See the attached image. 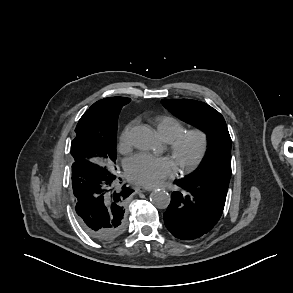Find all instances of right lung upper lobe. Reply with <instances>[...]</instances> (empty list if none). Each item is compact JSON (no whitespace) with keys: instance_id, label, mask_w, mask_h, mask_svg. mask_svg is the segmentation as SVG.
Wrapping results in <instances>:
<instances>
[{"instance_id":"1","label":"right lung upper lobe","mask_w":293,"mask_h":293,"mask_svg":"<svg viewBox=\"0 0 293 293\" xmlns=\"http://www.w3.org/2000/svg\"><path fill=\"white\" fill-rule=\"evenodd\" d=\"M131 99L126 97H110L94 103L81 117L78 123L79 129H96L99 134H108L114 126V113L128 104ZM74 162L88 161L96 163V156L93 154L79 153Z\"/></svg>"}]
</instances>
